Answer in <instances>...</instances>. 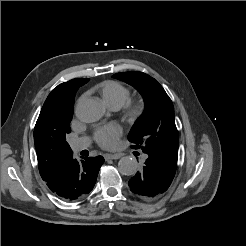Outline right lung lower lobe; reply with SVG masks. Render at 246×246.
Masks as SVG:
<instances>
[{
  "label": "right lung lower lobe",
  "instance_id": "obj_1",
  "mask_svg": "<svg viewBox=\"0 0 246 246\" xmlns=\"http://www.w3.org/2000/svg\"><path fill=\"white\" fill-rule=\"evenodd\" d=\"M103 163L102 156L83 158L81 161L72 156L60 165L47 185L65 201L80 200L93 189Z\"/></svg>",
  "mask_w": 246,
  "mask_h": 246
}]
</instances>
